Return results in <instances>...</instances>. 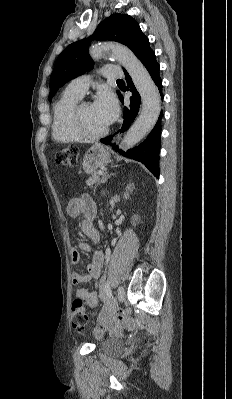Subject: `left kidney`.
<instances>
[{
    "label": "left kidney",
    "mask_w": 232,
    "mask_h": 399,
    "mask_svg": "<svg viewBox=\"0 0 232 399\" xmlns=\"http://www.w3.org/2000/svg\"><path fill=\"white\" fill-rule=\"evenodd\" d=\"M124 198H128V194H125Z\"/></svg>",
    "instance_id": "5707ae66"
}]
</instances>
